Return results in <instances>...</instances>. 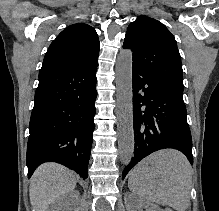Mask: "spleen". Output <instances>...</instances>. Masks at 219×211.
Returning <instances> with one entry per match:
<instances>
[{"label":"spleen","instance_id":"3e777b00","mask_svg":"<svg viewBox=\"0 0 219 211\" xmlns=\"http://www.w3.org/2000/svg\"><path fill=\"white\" fill-rule=\"evenodd\" d=\"M191 165L178 149H159L129 173L128 187L141 201L185 211L190 205Z\"/></svg>","mask_w":219,"mask_h":211}]
</instances>
